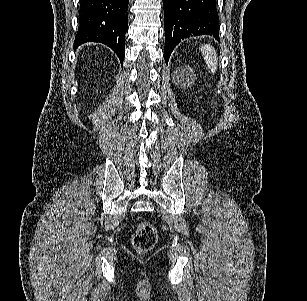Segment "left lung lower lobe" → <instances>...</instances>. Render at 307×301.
Instances as JSON below:
<instances>
[{
    "mask_svg": "<svg viewBox=\"0 0 307 301\" xmlns=\"http://www.w3.org/2000/svg\"><path fill=\"white\" fill-rule=\"evenodd\" d=\"M218 19L216 0H164L166 64L175 46L186 37L212 35L219 39Z\"/></svg>",
    "mask_w": 307,
    "mask_h": 301,
    "instance_id": "obj_1",
    "label": "left lung lower lobe"
}]
</instances>
